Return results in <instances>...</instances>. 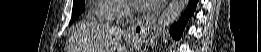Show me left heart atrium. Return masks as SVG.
I'll return each mask as SVG.
<instances>
[{
  "mask_svg": "<svg viewBox=\"0 0 261 52\" xmlns=\"http://www.w3.org/2000/svg\"><path fill=\"white\" fill-rule=\"evenodd\" d=\"M135 7L139 10H147L154 8L158 0H133Z\"/></svg>",
  "mask_w": 261,
  "mask_h": 52,
  "instance_id": "obj_1",
  "label": "left heart atrium"
}]
</instances>
